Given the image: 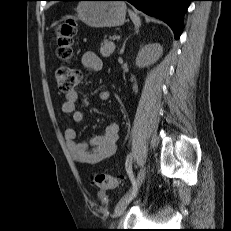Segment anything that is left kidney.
Returning <instances> with one entry per match:
<instances>
[{
    "mask_svg": "<svg viewBox=\"0 0 231 231\" xmlns=\"http://www.w3.org/2000/svg\"><path fill=\"white\" fill-rule=\"evenodd\" d=\"M163 53V48L158 43L147 44L141 48L136 57V66L139 68L146 67L155 63Z\"/></svg>",
    "mask_w": 231,
    "mask_h": 231,
    "instance_id": "1",
    "label": "left kidney"
}]
</instances>
